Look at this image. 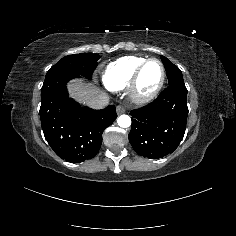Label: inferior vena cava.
I'll return each instance as SVG.
<instances>
[{
	"instance_id": "1",
	"label": "inferior vena cava",
	"mask_w": 236,
	"mask_h": 236,
	"mask_svg": "<svg viewBox=\"0 0 236 236\" xmlns=\"http://www.w3.org/2000/svg\"><path fill=\"white\" fill-rule=\"evenodd\" d=\"M109 95H102L98 97H93L86 102V106L93 109H100L106 106L109 103Z\"/></svg>"
}]
</instances>
